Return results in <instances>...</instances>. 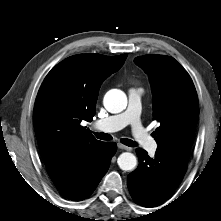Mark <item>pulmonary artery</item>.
<instances>
[{
	"label": "pulmonary artery",
	"instance_id": "1",
	"mask_svg": "<svg viewBox=\"0 0 221 221\" xmlns=\"http://www.w3.org/2000/svg\"><path fill=\"white\" fill-rule=\"evenodd\" d=\"M142 93L143 90L140 88H131L128 94L127 109L119 114L97 121L95 127L103 132H114L130 125L137 143L153 153L157 149V144L140 121Z\"/></svg>",
	"mask_w": 221,
	"mask_h": 221
}]
</instances>
